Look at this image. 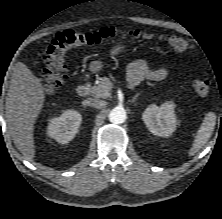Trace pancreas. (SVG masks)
Listing matches in <instances>:
<instances>
[{
    "label": "pancreas",
    "instance_id": "pancreas-1",
    "mask_svg": "<svg viewBox=\"0 0 222 219\" xmlns=\"http://www.w3.org/2000/svg\"><path fill=\"white\" fill-rule=\"evenodd\" d=\"M111 88L112 83L109 78L102 77L99 79L98 84L92 88L91 94L96 98H107L110 96Z\"/></svg>",
    "mask_w": 222,
    "mask_h": 219
}]
</instances>
